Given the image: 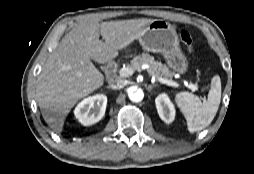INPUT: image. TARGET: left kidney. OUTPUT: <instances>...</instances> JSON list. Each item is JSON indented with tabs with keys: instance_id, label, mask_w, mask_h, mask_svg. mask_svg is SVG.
Wrapping results in <instances>:
<instances>
[{
	"instance_id": "left-kidney-1",
	"label": "left kidney",
	"mask_w": 254,
	"mask_h": 174,
	"mask_svg": "<svg viewBox=\"0 0 254 174\" xmlns=\"http://www.w3.org/2000/svg\"><path fill=\"white\" fill-rule=\"evenodd\" d=\"M157 112L160 118L167 124L175 119V108L166 94H160L155 99Z\"/></svg>"
}]
</instances>
